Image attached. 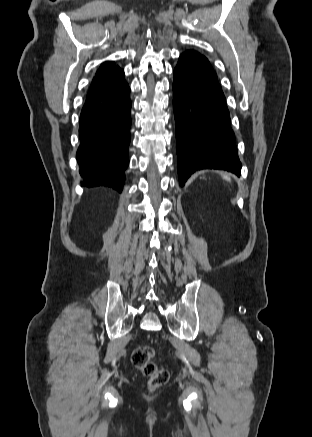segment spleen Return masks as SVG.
Returning a JSON list of instances; mask_svg holds the SVG:
<instances>
[{
    "mask_svg": "<svg viewBox=\"0 0 312 437\" xmlns=\"http://www.w3.org/2000/svg\"><path fill=\"white\" fill-rule=\"evenodd\" d=\"M226 180H229L230 181V179L227 177V176H223Z\"/></svg>",
    "mask_w": 312,
    "mask_h": 437,
    "instance_id": "obj_1",
    "label": "spleen"
}]
</instances>
